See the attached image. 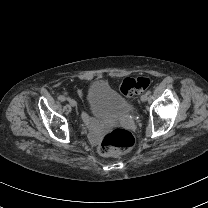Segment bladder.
<instances>
[{
  "label": "bladder",
  "mask_w": 208,
  "mask_h": 208,
  "mask_svg": "<svg viewBox=\"0 0 208 208\" xmlns=\"http://www.w3.org/2000/svg\"><path fill=\"white\" fill-rule=\"evenodd\" d=\"M88 102L94 114L125 115L130 106L123 95L105 82H92L88 86Z\"/></svg>",
  "instance_id": "1"
}]
</instances>
